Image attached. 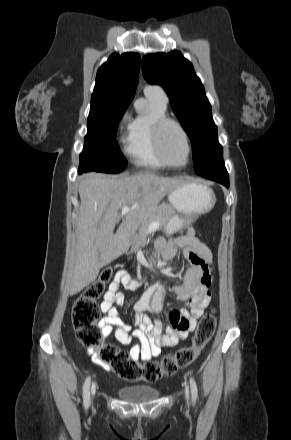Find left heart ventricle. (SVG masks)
<instances>
[{
  "mask_svg": "<svg viewBox=\"0 0 291 440\" xmlns=\"http://www.w3.org/2000/svg\"><path fill=\"white\" fill-rule=\"evenodd\" d=\"M163 151L167 159L174 164H183L186 160L185 140L174 126H168L163 133Z\"/></svg>",
  "mask_w": 291,
  "mask_h": 440,
  "instance_id": "1",
  "label": "left heart ventricle"
}]
</instances>
